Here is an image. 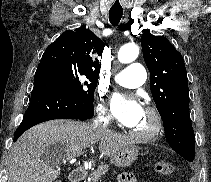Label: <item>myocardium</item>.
<instances>
[{
    "label": "myocardium",
    "instance_id": "1",
    "mask_svg": "<svg viewBox=\"0 0 211 182\" xmlns=\"http://www.w3.org/2000/svg\"><path fill=\"white\" fill-rule=\"evenodd\" d=\"M144 111L148 112L154 120L152 128L148 132H138L130 129L129 134L137 141L149 142L154 140L163 130L164 122L161 113L153 106H146Z\"/></svg>",
    "mask_w": 211,
    "mask_h": 182
}]
</instances>
